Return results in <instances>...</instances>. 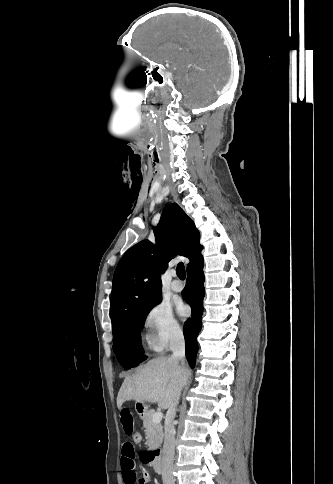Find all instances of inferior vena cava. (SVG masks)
I'll return each instance as SVG.
<instances>
[{
    "mask_svg": "<svg viewBox=\"0 0 333 484\" xmlns=\"http://www.w3.org/2000/svg\"><path fill=\"white\" fill-rule=\"evenodd\" d=\"M170 350L173 352L171 358L181 362L185 367V341L182 330H175L170 337ZM181 390L167 412V422L165 425V438L162 451V480L163 484H175L173 477V462L175 454V427L174 418L176 416V406L180 398Z\"/></svg>",
    "mask_w": 333,
    "mask_h": 484,
    "instance_id": "inferior-vena-cava-1",
    "label": "inferior vena cava"
}]
</instances>
